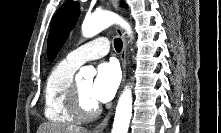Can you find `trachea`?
Returning a JSON list of instances; mask_svg holds the SVG:
<instances>
[{
    "instance_id": "obj_1",
    "label": "trachea",
    "mask_w": 221,
    "mask_h": 133,
    "mask_svg": "<svg viewBox=\"0 0 221 133\" xmlns=\"http://www.w3.org/2000/svg\"><path fill=\"white\" fill-rule=\"evenodd\" d=\"M114 47H115V50L117 52H120L122 50V47H123V43H122V40L117 38L114 40Z\"/></svg>"
}]
</instances>
